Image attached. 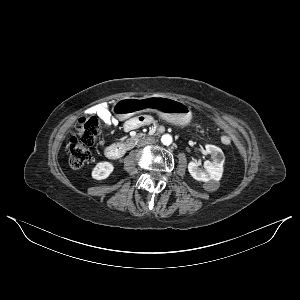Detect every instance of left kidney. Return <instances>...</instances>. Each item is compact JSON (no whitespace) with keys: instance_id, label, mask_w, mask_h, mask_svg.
Wrapping results in <instances>:
<instances>
[{"instance_id":"5707ae66","label":"left kidney","mask_w":300,"mask_h":300,"mask_svg":"<svg viewBox=\"0 0 300 300\" xmlns=\"http://www.w3.org/2000/svg\"><path fill=\"white\" fill-rule=\"evenodd\" d=\"M205 151L211 155L212 161L204 162V170L198 167L197 162L191 161L188 164V171L195 180L202 182L213 180L218 182L223 173L224 153L219 147L209 144L205 146Z\"/></svg>"}]
</instances>
